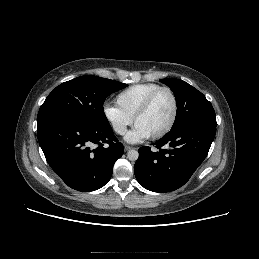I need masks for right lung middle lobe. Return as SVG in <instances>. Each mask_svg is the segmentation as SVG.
<instances>
[{"mask_svg": "<svg viewBox=\"0 0 259 259\" xmlns=\"http://www.w3.org/2000/svg\"><path fill=\"white\" fill-rule=\"evenodd\" d=\"M127 86L124 83L91 75L64 82L57 86L41 105L37 124L64 116L95 124H108L103 103L110 94Z\"/></svg>", "mask_w": 259, "mask_h": 259, "instance_id": "1", "label": "right lung middle lobe"}]
</instances>
